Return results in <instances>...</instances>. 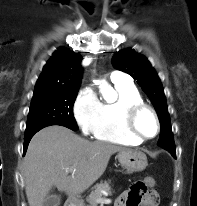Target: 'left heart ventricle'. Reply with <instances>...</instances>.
<instances>
[{
	"label": "left heart ventricle",
	"instance_id": "obj_1",
	"mask_svg": "<svg viewBox=\"0 0 197 206\" xmlns=\"http://www.w3.org/2000/svg\"><path fill=\"white\" fill-rule=\"evenodd\" d=\"M137 127L144 136H153L156 132V123L149 112H143L137 119Z\"/></svg>",
	"mask_w": 197,
	"mask_h": 206
}]
</instances>
